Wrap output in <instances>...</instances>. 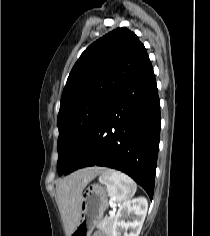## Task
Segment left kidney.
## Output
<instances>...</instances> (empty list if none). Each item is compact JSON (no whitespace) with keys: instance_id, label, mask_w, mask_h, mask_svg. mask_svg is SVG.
Returning <instances> with one entry per match:
<instances>
[{"instance_id":"5707ae66","label":"left kidney","mask_w":210,"mask_h":236,"mask_svg":"<svg viewBox=\"0 0 210 236\" xmlns=\"http://www.w3.org/2000/svg\"><path fill=\"white\" fill-rule=\"evenodd\" d=\"M147 209L148 202L144 197L124 202L115 215L111 236H121L122 233L123 236H139Z\"/></svg>"}]
</instances>
